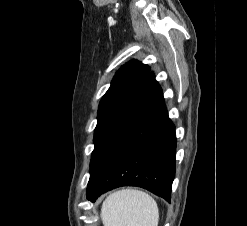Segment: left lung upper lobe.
Here are the masks:
<instances>
[{"label": "left lung upper lobe", "instance_id": "obj_1", "mask_svg": "<svg viewBox=\"0 0 247 226\" xmlns=\"http://www.w3.org/2000/svg\"><path fill=\"white\" fill-rule=\"evenodd\" d=\"M149 72L150 68L147 65L133 60L116 73L99 104L94 141Z\"/></svg>", "mask_w": 247, "mask_h": 226}]
</instances>
